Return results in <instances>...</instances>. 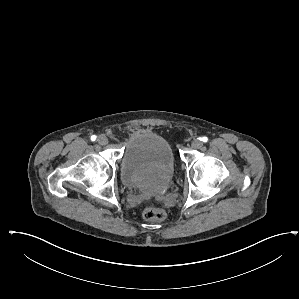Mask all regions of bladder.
<instances>
[{"mask_svg": "<svg viewBox=\"0 0 299 299\" xmlns=\"http://www.w3.org/2000/svg\"><path fill=\"white\" fill-rule=\"evenodd\" d=\"M174 171L175 155L164 136L138 131L129 137L120 164L124 184L160 194L167 189Z\"/></svg>", "mask_w": 299, "mask_h": 299, "instance_id": "31cf9c89", "label": "bladder"}]
</instances>
